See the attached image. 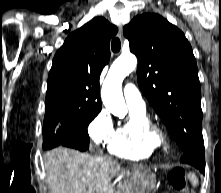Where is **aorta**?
<instances>
[{"label": "aorta", "instance_id": "aorta-1", "mask_svg": "<svg viewBox=\"0 0 221 193\" xmlns=\"http://www.w3.org/2000/svg\"><path fill=\"white\" fill-rule=\"evenodd\" d=\"M136 66L137 59L134 55L118 57L110 67L102 86L101 96L104 106L119 118H124L128 112L122 93V82L126 76L135 70Z\"/></svg>", "mask_w": 221, "mask_h": 193}]
</instances>
